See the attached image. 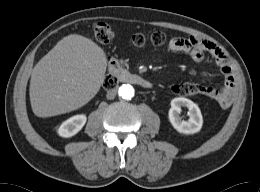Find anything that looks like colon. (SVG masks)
Returning a JSON list of instances; mask_svg holds the SVG:
<instances>
[{
  "mask_svg": "<svg viewBox=\"0 0 260 192\" xmlns=\"http://www.w3.org/2000/svg\"><path fill=\"white\" fill-rule=\"evenodd\" d=\"M93 33L96 41L100 44H108L114 37V31L112 27L104 21L97 22L93 26ZM167 40L166 34L161 31L152 33L149 38H146L142 34H135L132 37V43L136 47H144L147 44L152 46H161L165 44ZM120 65L119 61L112 62L110 71L104 80V87L106 89H112L115 87L117 81L114 77L113 71ZM174 93L181 96H189L198 93L199 85L191 82H179L172 87Z\"/></svg>",
  "mask_w": 260,
  "mask_h": 192,
  "instance_id": "colon-1",
  "label": "colon"
}]
</instances>
